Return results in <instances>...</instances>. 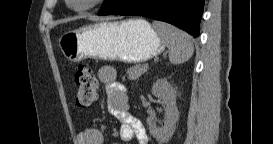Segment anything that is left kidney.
I'll list each match as a JSON object with an SVG mask.
<instances>
[{"mask_svg":"<svg viewBox=\"0 0 273 144\" xmlns=\"http://www.w3.org/2000/svg\"><path fill=\"white\" fill-rule=\"evenodd\" d=\"M152 94L161 99L165 105L164 126L156 125L155 117L147 118L150 134L161 144L168 141L176 130L179 111L176 105V89L166 79H157L152 86Z\"/></svg>","mask_w":273,"mask_h":144,"instance_id":"5707ae66","label":"left kidney"}]
</instances>
